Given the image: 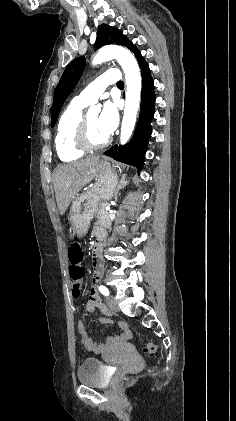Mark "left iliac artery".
I'll return each mask as SVG.
<instances>
[{"mask_svg":"<svg viewBox=\"0 0 236 421\" xmlns=\"http://www.w3.org/2000/svg\"><path fill=\"white\" fill-rule=\"evenodd\" d=\"M99 290L104 296H109V290L105 286H99Z\"/></svg>","mask_w":236,"mask_h":421,"instance_id":"44dca946","label":"left iliac artery"}]
</instances>
